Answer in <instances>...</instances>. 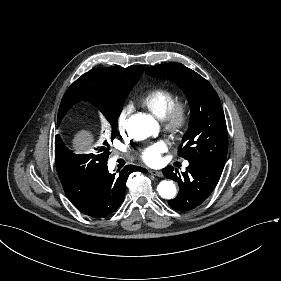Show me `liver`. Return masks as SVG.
<instances>
[{"mask_svg":"<svg viewBox=\"0 0 281 281\" xmlns=\"http://www.w3.org/2000/svg\"><path fill=\"white\" fill-rule=\"evenodd\" d=\"M96 145V137L89 128L77 130L71 139V148L74 154L86 155Z\"/></svg>","mask_w":281,"mask_h":281,"instance_id":"6515ba94","label":"liver"}]
</instances>
